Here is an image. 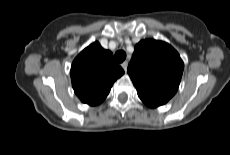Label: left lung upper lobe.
<instances>
[{"mask_svg": "<svg viewBox=\"0 0 230 155\" xmlns=\"http://www.w3.org/2000/svg\"><path fill=\"white\" fill-rule=\"evenodd\" d=\"M184 69L178 52L168 43L141 40L128 66L139 98L149 107L166 104L177 92Z\"/></svg>", "mask_w": 230, "mask_h": 155, "instance_id": "left-lung-upper-lobe-1", "label": "left lung upper lobe"}]
</instances>
